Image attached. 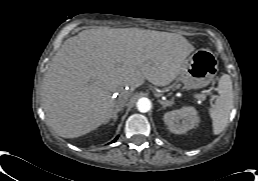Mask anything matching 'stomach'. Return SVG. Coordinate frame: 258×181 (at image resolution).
<instances>
[{
    "label": "stomach",
    "mask_w": 258,
    "mask_h": 181,
    "mask_svg": "<svg viewBox=\"0 0 258 181\" xmlns=\"http://www.w3.org/2000/svg\"><path fill=\"white\" fill-rule=\"evenodd\" d=\"M217 72L215 54L208 49H198L185 60L179 79L186 89H199L210 84Z\"/></svg>",
    "instance_id": "0dacf381"
}]
</instances>
